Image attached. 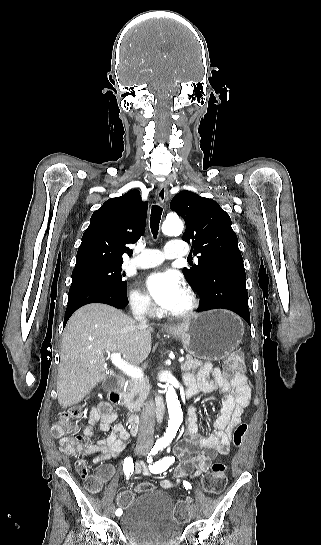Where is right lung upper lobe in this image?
<instances>
[{
	"mask_svg": "<svg viewBox=\"0 0 321 545\" xmlns=\"http://www.w3.org/2000/svg\"><path fill=\"white\" fill-rule=\"evenodd\" d=\"M147 206L141 201L138 190L107 200L91 216L74 269L97 264H122L124 254L132 255L126 244L135 243L144 232Z\"/></svg>",
	"mask_w": 321,
	"mask_h": 545,
	"instance_id": "obj_1",
	"label": "right lung upper lobe"
}]
</instances>
